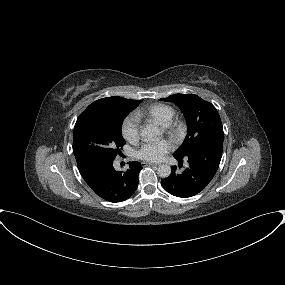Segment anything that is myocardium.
I'll list each match as a JSON object with an SVG mask.
<instances>
[{"mask_svg": "<svg viewBox=\"0 0 285 285\" xmlns=\"http://www.w3.org/2000/svg\"><path fill=\"white\" fill-rule=\"evenodd\" d=\"M171 136L177 137L179 135V127L176 123H168L165 125Z\"/></svg>", "mask_w": 285, "mask_h": 285, "instance_id": "myocardium-1", "label": "myocardium"}]
</instances>
